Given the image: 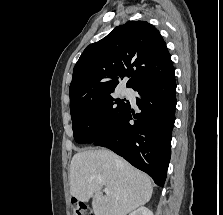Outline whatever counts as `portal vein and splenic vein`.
Segmentation results:
<instances>
[{"label":"portal vein and splenic vein","instance_id":"obj_1","mask_svg":"<svg viewBox=\"0 0 223 215\" xmlns=\"http://www.w3.org/2000/svg\"><path fill=\"white\" fill-rule=\"evenodd\" d=\"M104 191H105V193H110L108 187H105Z\"/></svg>","mask_w":223,"mask_h":215}]
</instances>
